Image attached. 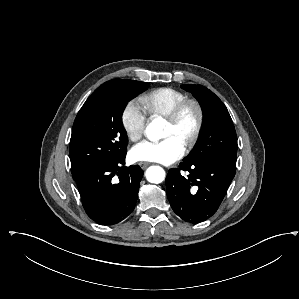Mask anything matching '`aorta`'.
<instances>
[{"instance_id":"aorta-1","label":"aorta","mask_w":299,"mask_h":299,"mask_svg":"<svg viewBox=\"0 0 299 299\" xmlns=\"http://www.w3.org/2000/svg\"><path fill=\"white\" fill-rule=\"evenodd\" d=\"M164 120L160 117L155 118L146 127V135L151 141H157L163 137ZM146 179L150 183L159 184L165 179V171L160 166H151L146 170Z\"/></svg>"}]
</instances>
